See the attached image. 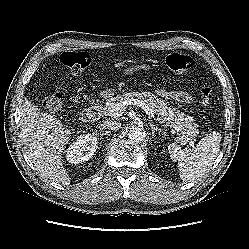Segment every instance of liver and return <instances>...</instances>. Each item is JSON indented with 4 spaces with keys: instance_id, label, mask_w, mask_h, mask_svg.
<instances>
[{
    "instance_id": "6515ba94",
    "label": "liver",
    "mask_w": 249,
    "mask_h": 249,
    "mask_svg": "<svg viewBox=\"0 0 249 249\" xmlns=\"http://www.w3.org/2000/svg\"><path fill=\"white\" fill-rule=\"evenodd\" d=\"M20 133L25 152L41 176L69 184L62 153L70 140V131L54 116L42 112L26 98L20 105Z\"/></svg>"
}]
</instances>
